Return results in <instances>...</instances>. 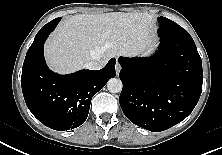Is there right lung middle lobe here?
<instances>
[{"mask_svg": "<svg viewBox=\"0 0 222 155\" xmlns=\"http://www.w3.org/2000/svg\"><path fill=\"white\" fill-rule=\"evenodd\" d=\"M61 20V18H56V19H54V20H52L51 22H49V23H47L45 26H43L42 28H44V27H46V26H50V25H52V24H54V23H59V21ZM41 28V29H42Z\"/></svg>", "mask_w": 222, "mask_h": 155, "instance_id": "dd1d6c3e", "label": "right lung middle lobe"}]
</instances>
